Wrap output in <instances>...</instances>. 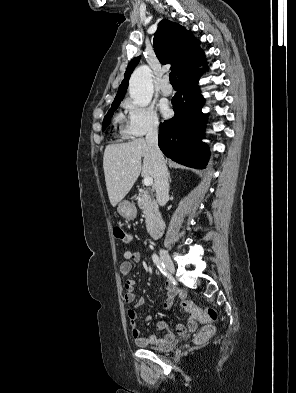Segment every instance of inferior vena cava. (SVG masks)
Returning <instances> with one entry per match:
<instances>
[{
    "instance_id": "obj_1",
    "label": "inferior vena cava",
    "mask_w": 296,
    "mask_h": 393,
    "mask_svg": "<svg viewBox=\"0 0 296 393\" xmlns=\"http://www.w3.org/2000/svg\"><path fill=\"white\" fill-rule=\"evenodd\" d=\"M146 143L154 160L156 199L160 206H164L169 197V183L167 167L158 146V123L153 124L149 128L146 135Z\"/></svg>"
}]
</instances>
